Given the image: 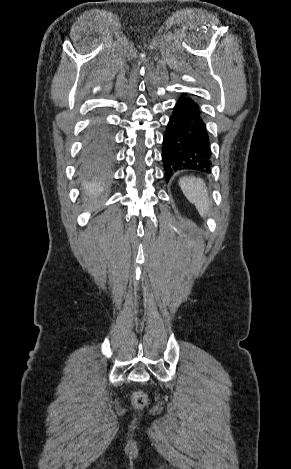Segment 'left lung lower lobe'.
I'll return each instance as SVG.
<instances>
[{"label":"left lung lower lobe","mask_w":291,"mask_h":469,"mask_svg":"<svg viewBox=\"0 0 291 469\" xmlns=\"http://www.w3.org/2000/svg\"><path fill=\"white\" fill-rule=\"evenodd\" d=\"M162 159L166 181L179 170L210 172L211 150L198 105L182 95L170 116L163 138Z\"/></svg>","instance_id":"1"}]
</instances>
